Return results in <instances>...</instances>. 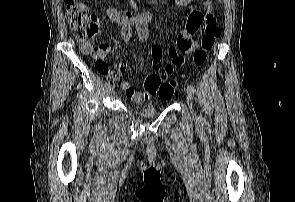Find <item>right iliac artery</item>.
Wrapping results in <instances>:
<instances>
[{
  "instance_id": "82829eb1",
  "label": "right iliac artery",
  "mask_w": 295,
  "mask_h": 202,
  "mask_svg": "<svg viewBox=\"0 0 295 202\" xmlns=\"http://www.w3.org/2000/svg\"><path fill=\"white\" fill-rule=\"evenodd\" d=\"M105 86H106V87H109V86H110V82L107 81V82L105 83Z\"/></svg>"
}]
</instances>
